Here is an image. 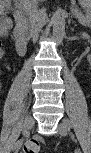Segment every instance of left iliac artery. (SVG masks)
<instances>
[{
	"label": "left iliac artery",
	"mask_w": 91,
	"mask_h": 153,
	"mask_svg": "<svg viewBox=\"0 0 91 153\" xmlns=\"http://www.w3.org/2000/svg\"><path fill=\"white\" fill-rule=\"evenodd\" d=\"M66 127L67 130H69V132H67V135H69L70 140H73V143H78V140H74V137L72 135H74L73 129H72V125L71 122L69 120H66ZM74 153H82V151H80V149H76V151H74Z\"/></svg>",
	"instance_id": "1"
}]
</instances>
